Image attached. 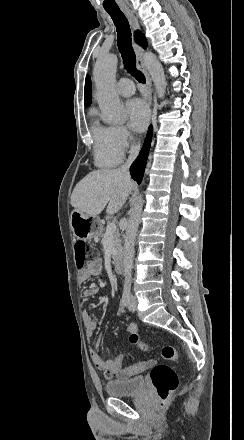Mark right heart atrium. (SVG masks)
<instances>
[{
    "label": "right heart atrium",
    "instance_id": "d8ad5b80",
    "mask_svg": "<svg viewBox=\"0 0 244 440\" xmlns=\"http://www.w3.org/2000/svg\"><path fill=\"white\" fill-rule=\"evenodd\" d=\"M132 138V133L125 126H111L109 127V137L103 148L106 151H123L130 145Z\"/></svg>",
    "mask_w": 244,
    "mask_h": 440
}]
</instances>
